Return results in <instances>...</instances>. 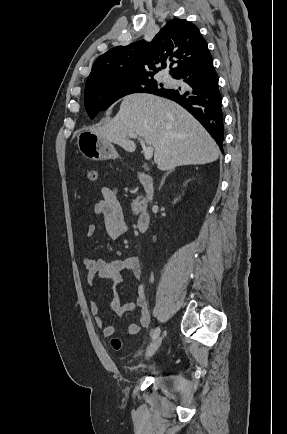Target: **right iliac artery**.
<instances>
[{"instance_id":"right-iliac-artery-1","label":"right iliac artery","mask_w":287,"mask_h":434,"mask_svg":"<svg viewBox=\"0 0 287 434\" xmlns=\"http://www.w3.org/2000/svg\"><path fill=\"white\" fill-rule=\"evenodd\" d=\"M160 333V328L156 327L152 332V339H156Z\"/></svg>"}]
</instances>
